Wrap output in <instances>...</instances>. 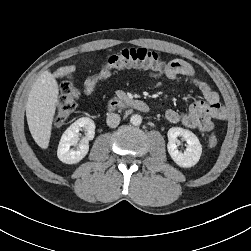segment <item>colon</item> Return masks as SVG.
Wrapping results in <instances>:
<instances>
[{
	"instance_id": "1",
	"label": "colon",
	"mask_w": 251,
	"mask_h": 251,
	"mask_svg": "<svg viewBox=\"0 0 251 251\" xmlns=\"http://www.w3.org/2000/svg\"><path fill=\"white\" fill-rule=\"evenodd\" d=\"M168 64L155 52L145 48H128L111 55L104 65L105 70L115 71L128 67H140L151 71L162 72ZM67 80L61 84V94L56 105L54 126H62L76 108L79 90L72 79V71L66 73ZM210 147L218 143L216 135L212 134L208 140Z\"/></svg>"
}]
</instances>
